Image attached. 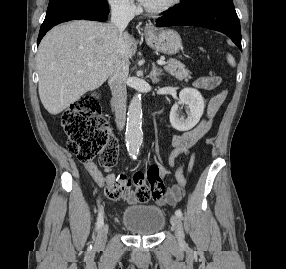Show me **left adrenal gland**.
<instances>
[{
    "label": "left adrenal gland",
    "instance_id": "1",
    "mask_svg": "<svg viewBox=\"0 0 286 269\" xmlns=\"http://www.w3.org/2000/svg\"><path fill=\"white\" fill-rule=\"evenodd\" d=\"M161 76H163L162 69L157 68L155 63H152V71L150 72L152 82L158 83Z\"/></svg>",
    "mask_w": 286,
    "mask_h": 269
}]
</instances>
